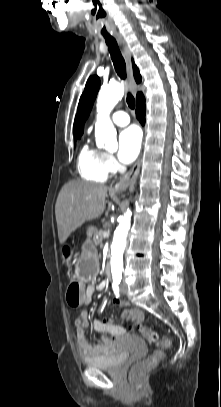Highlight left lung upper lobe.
Here are the masks:
<instances>
[{
	"instance_id": "obj_1",
	"label": "left lung upper lobe",
	"mask_w": 221,
	"mask_h": 407,
	"mask_svg": "<svg viewBox=\"0 0 221 407\" xmlns=\"http://www.w3.org/2000/svg\"><path fill=\"white\" fill-rule=\"evenodd\" d=\"M100 88V79L97 76H91L85 86L78 105V130L79 137L83 133L84 123L92 109L94 100Z\"/></svg>"
}]
</instances>
